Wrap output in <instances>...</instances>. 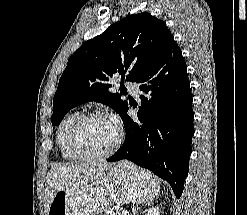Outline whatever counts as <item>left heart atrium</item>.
Instances as JSON below:
<instances>
[{
    "mask_svg": "<svg viewBox=\"0 0 247 215\" xmlns=\"http://www.w3.org/2000/svg\"><path fill=\"white\" fill-rule=\"evenodd\" d=\"M109 122L113 125V127L118 130L119 129V121L116 117L112 116L109 119Z\"/></svg>",
    "mask_w": 247,
    "mask_h": 215,
    "instance_id": "obj_1",
    "label": "left heart atrium"
}]
</instances>
